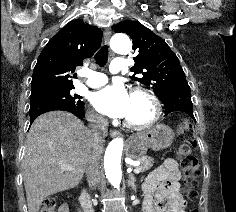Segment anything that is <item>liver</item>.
<instances>
[{
	"instance_id": "liver-1",
	"label": "liver",
	"mask_w": 236,
	"mask_h": 212,
	"mask_svg": "<svg viewBox=\"0 0 236 212\" xmlns=\"http://www.w3.org/2000/svg\"><path fill=\"white\" fill-rule=\"evenodd\" d=\"M92 136L83 122L65 111L39 116L32 124L22 162L28 212H38L46 197L76 187L92 155ZM103 144L99 147V156ZM73 166L65 171L61 165Z\"/></svg>"
}]
</instances>
